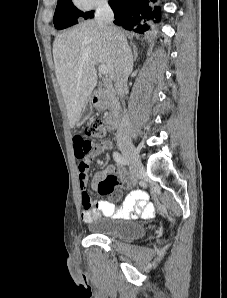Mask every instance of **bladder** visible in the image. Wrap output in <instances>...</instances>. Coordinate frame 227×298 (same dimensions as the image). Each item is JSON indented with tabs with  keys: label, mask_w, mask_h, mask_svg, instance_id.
<instances>
[{
	"label": "bladder",
	"mask_w": 227,
	"mask_h": 298,
	"mask_svg": "<svg viewBox=\"0 0 227 298\" xmlns=\"http://www.w3.org/2000/svg\"><path fill=\"white\" fill-rule=\"evenodd\" d=\"M88 229L93 234L119 240L138 239L146 233L141 224L122 219L97 218L88 224Z\"/></svg>",
	"instance_id": "31cf9c89"
}]
</instances>
